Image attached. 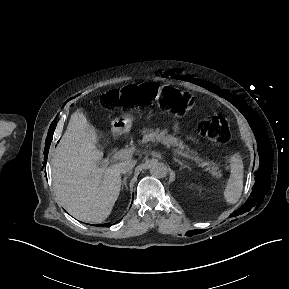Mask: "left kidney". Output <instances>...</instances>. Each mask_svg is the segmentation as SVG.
Here are the masks:
<instances>
[{
	"instance_id": "5707ae66",
	"label": "left kidney",
	"mask_w": 289,
	"mask_h": 289,
	"mask_svg": "<svg viewBox=\"0 0 289 289\" xmlns=\"http://www.w3.org/2000/svg\"><path fill=\"white\" fill-rule=\"evenodd\" d=\"M201 191H202V188L199 189V192H200V193H201Z\"/></svg>"
}]
</instances>
